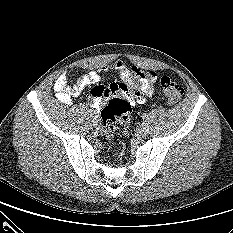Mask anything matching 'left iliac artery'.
Listing matches in <instances>:
<instances>
[{"instance_id": "44dca946", "label": "left iliac artery", "mask_w": 233, "mask_h": 233, "mask_svg": "<svg viewBox=\"0 0 233 233\" xmlns=\"http://www.w3.org/2000/svg\"><path fill=\"white\" fill-rule=\"evenodd\" d=\"M142 118H143V119H147L148 116H147L146 114H143Z\"/></svg>"}]
</instances>
